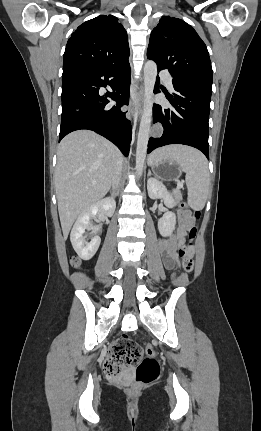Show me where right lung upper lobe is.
<instances>
[{
	"instance_id": "1",
	"label": "right lung upper lobe",
	"mask_w": 261,
	"mask_h": 431,
	"mask_svg": "<svg viewBox=\"0 0 261 431\" xmlns=\"http://www.w3.org/2000/svg\"><path fill=\"white\" fill-rule=\"evenodd\" d=\"M127 32L113 15L84 22L69 38L63 71L76 67H115L128 62Z\"/></svg>"
}]
</instances>
